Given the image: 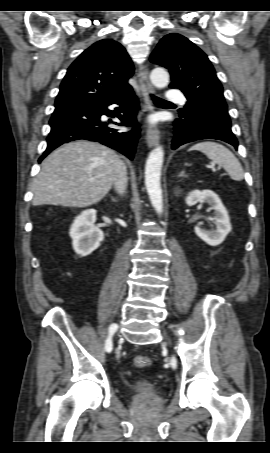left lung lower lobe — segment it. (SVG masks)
<instances>
[{
	"label": "left lung lower lobe",
	"instance_id": "left-lung-lower-lobe-1",
	"mask_svg": "<svg viewBox=\"0 0 270 453\" xmlns=\"http://www.w3.org/2000/svg\"><path fill=\"white\" fill-rule=\"evenodd\" d=\"M175 139L172 143V149L179 146L202 139H218L225 141L235 149L238 147V142L231 131V126L227 125L219 118L208 115L205 111L191 108L189 113L180 114L174 123Z\"/></svg>",
	"mask_w": 270,
	"mask_h": 453
}]
</instances>
